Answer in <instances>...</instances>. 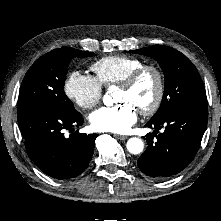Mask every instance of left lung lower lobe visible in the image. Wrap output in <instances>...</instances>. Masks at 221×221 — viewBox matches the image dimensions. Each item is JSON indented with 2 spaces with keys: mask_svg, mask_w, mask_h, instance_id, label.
<instances>
[{
  "mask_svg": "<svg viewBox=\"0 0 221 221\" xmlns=\"http://www.w3.org/2000/svg\"><path fill=\"white\" fill-rule=\"evenodd\" d=\"M207 119V102H198L178 108L162 119L149 121L145 126L156 130L146 135L148 147L137 161L140 170L158 179L182 171L199 149ZM161 128L164 131L157 135Z\"/></svg>",
  "mask_w": 221,
  "mask_h": 221,
  "instance_id": "left-lung-lower-lobe-1",
  "label": "left lung lower lobe"
}]
</instances>
